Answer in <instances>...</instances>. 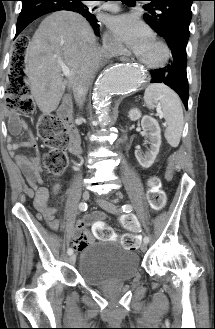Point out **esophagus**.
Wrapping results in <instances>:
<instances>
[{
  "label": "esophagus",
  "mask_w": 215,
  "mask_h": 329,
  "mask_svg": "<svg viewBox=\"0 0 215 329\" xmlns=\"http://www.w3.org/2000/svg\"><path fill=\"white\" fill-rule=\"evenodd\" d=\"M121 60H122V61H129L130 58H129L128 56H122V57H121Z\"/></svg>",
  "instance_id": "34e87169"
}]
</instances>
